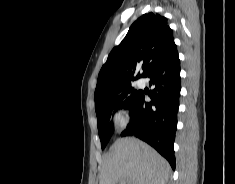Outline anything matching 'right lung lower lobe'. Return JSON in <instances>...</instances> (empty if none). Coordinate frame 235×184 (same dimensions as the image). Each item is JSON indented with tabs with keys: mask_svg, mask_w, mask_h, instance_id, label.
<instances>
[{
	"mask_svg": "<svg viewBox=\"0 0 235 184\" xmlns=\"http://www.w3.org/2000/svg\"><path fill=\"white\" fill-rule=\"evenodd\" d=\"M144 78H150L153 89L150 102L140 91L128 108L130 123L121 136H136L155 148L175 169L173 144L177 129V112L181 89L180 60L176 51L151 69Z\"/></svg>",
	"mask_w": 235,
	"mask_h": 184,
	"instance_id": "1",
	"label": "right lung lower lobe"
}]
</instances>
